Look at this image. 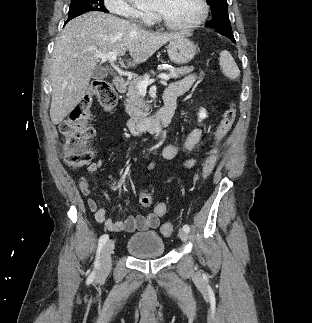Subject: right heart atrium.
Masks as SVG:
<instances>
[{
	"instance_id": "1",
	"label": "right heart atrium",
	"mask_w": 312,
	"mask_h": 323,
	"mask_svg": "<svg viewBox=\"0 0 312 323\" xmlns=\"http://www.w3.org/2000/svg\"><path fill=\"white\" fill-rule=\"evenodd\" d=\"M106 13H121L126 22H142L145 10L141 6H135L134 2L128 0H107Z\"/></svg>"
}]
</instances>
